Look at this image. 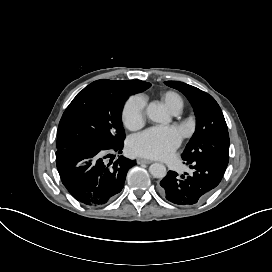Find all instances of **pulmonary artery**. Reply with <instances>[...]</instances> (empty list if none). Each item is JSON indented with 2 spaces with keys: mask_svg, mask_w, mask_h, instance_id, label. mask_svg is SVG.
Returning <instances> with one entry per match:
<instances>
[{
  "mask_svg": "<svg viewBox=\"0 0 272 272\" xmlns=\"http://www.w3.org/2000/svg\"><path fill=\"white\" fill-rule=\"evenodd\" d=\"M181 111V107H178L176 111H174L175 114H178Z\"/></svg>",
  "mask_w": 272,
  "mask_h": 272,
  "instance_id": "1",
  "label": "pulmonary artery"
}]
</instances>
